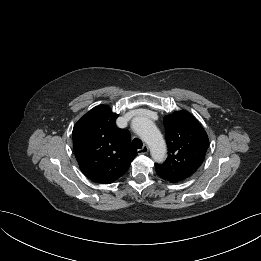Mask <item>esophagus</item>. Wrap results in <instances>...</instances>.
I'll list each match as a JSON object with an SVG mask.
<instances>
[{
    "instance_id": "esophagus-1",
    "label": "esophagus",
    "mask_w": 261,
    "mask_h": 261,
    "mask_svg": "<svg viewBox=\"0 0 261 261\" xmlns=\"http://www.w3.org/2000/svg\"><path fill=\"white\" fill-rule=\"evenodd\" d=\"M148 151H149L148 146H147V145H144L141 149H138V150H137V153L140 154V155H142V154L148 153Z\"/></svg>"
}]
</instances>
